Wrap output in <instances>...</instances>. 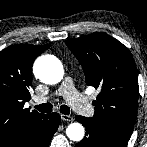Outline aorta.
Returning a JSON list of instances; mask_svg holds the SVG:
<instances>
[{
    "mask_svg": "<svg viewBox=\"0 0 147 147\" xmlns=\"http://www.w3.org/2000/svg\"><path fill=\"white\" fill-rule=\"evenodd\" d=\"M33 72L45 84H57L63 79L62 63L52 55L39 57L33 66ZM84 127L80 123H71L66 129L67 137L72 141H81L84 137Z\"/></svg>",
    "mask_w": 147,
    "mask_h": 147,
    "instance_id": "762f6f07",
    "label": "aorta"
}]
</instances>
